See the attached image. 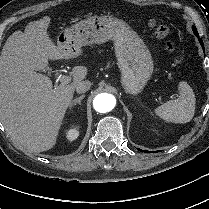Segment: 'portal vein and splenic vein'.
I'll return each instance as SVG.
<instances>
[{"mask_svg":"<svg viewBox=\"0 0 209 209\" xmlns=\"http://www.w3.org/2000/svg\"><path fill=\"white\" fill-rule=\"evenodd\" d=\"M58 80L61 82L62 85H66L71 81V77L65 76V75H60Z\"/></svg>","mask_w":209,"mask_h":209,"instance_id":"portal-vein-and-splenic-vein-1","label":"portal vein and splenic vein"}]
</instances>
